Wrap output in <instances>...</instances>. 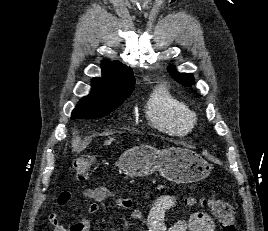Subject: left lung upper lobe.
I'll use <instances>...</instances> for the list:
<instances>
[{
	"label": "left lung upper lobe",
	"instance_id": "left-lung-upper-lobe-1",
	"mask_svg": "<svg viewBox=\"0 0 268 231\" xmlns=\"http://www.w3.org/2000/svg\"><path fill=\"white\" fill-rule=\"evenodd\" d=\"M168 72L174 80L184 86H191L195 83L191 74L178 73L174 67L168 68Z\"/></svg>",
	"mask_w": 268,
	"mask_h": 231
}]
</instances>
